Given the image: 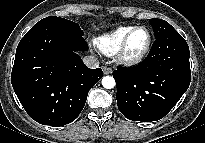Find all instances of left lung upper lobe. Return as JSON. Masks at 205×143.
<instances>
[{
	"label": "left lung upper lobe",
	"mask_w": 205,
	"mask_h": 143,
	"mask_svg": "<svg viewBox=\"0 0 205 143\" xmlns=\"http://www.w3.org/2000/svg\"><path fill=\"white\" fill-rule=\"evenodd\" d=\"M150 24L155 33V38L165 36L170 32L175 31V29L165 20L154 18L150 20Z\"/></svg>",
	"instance_id": "left-lung-upper-lobe-1"
}]
</instances>
